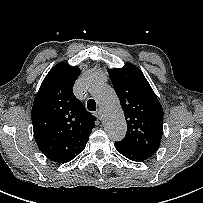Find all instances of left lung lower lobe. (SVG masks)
Returning a JSON list of instances; mask_svg holds the SVG:
<instances>
[{
  "label": "left lung lower lobe",
  "instance_id": "0a47b994",
  "mask_svg": "<svg viewBox=\"0 0 203 203\" xmlns=\"http://www.w3.org/2000/svg\"><path fill=\"white\" fill-rule=\"evenodd\" d=\"M115 148L117 149V151L119 153H121L123 156L127 157L128 159L132 160V161H144L148 158H150L151 156L140 153L120 142H115Z\"/></svg>",
  "mask_w": 203,
  "mask_h": 203
}]
</instances>
